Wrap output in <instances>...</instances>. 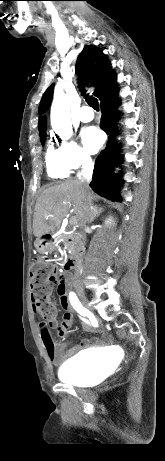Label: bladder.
I'll list each match as a JSON object with an SVG mask.
<instances>
[{
	"mask_svg": "<svg viewBox=\"0 0 165 461\" xmlns=\"http://www.w3.org/2000/svg\"><path fill=\"white\" fill-rule=\"evenodd\" d=\"M107 360L103 355L82 352L62 364L58 378L75 386H87L98 380V376L105 370Z\"/></svg>",
	"mask_w": 165,
	"mask_h": 461,
	"instance_id": "1",
	"label": "bladder"
}]
</instances>
